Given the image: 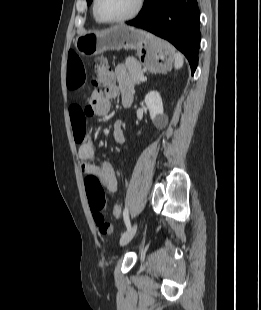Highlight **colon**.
Here are the masks:
<instances>
[{"mask_svg": "<svg viewBox=\"0 0 261 310\" xmlns=\"http://www.w3.org/2000/svg\"><path fill=\"white\" fill-rule=\"evenodd\" d=\"M112 77V69L109 63L103 58H98L95 61L94 71L91 75V83L96 87H102L109 84L112 81ZM86 188L95 224L101 234H111L113 226L105 220L103 214L100 212L107 206L106 196L100 180L95 176H87ZM111 211L114 217L119 218L121 215V206L118 204L113 205Z\"/></svg>", "mask_w": 261, "mask_h": 310, "instance_id": "colon-1", "label": "colon"}]
</instances>
